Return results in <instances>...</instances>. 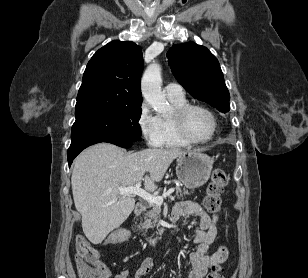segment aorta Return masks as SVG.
<instances>
[{"instance_id": "aorta-1", "label": "aorta", "mask_w": 308, "mask_h": 278, "mask_svg": "<svg viewBox=\"0 0 308 278\" xmlns=\"http://www.w3.org/2000/svg\"><path fill=\"white\" fill-rule=\"evenodd\" d=\"M161 85V67L157 63H152L142 77V95L157 113L165 114L170 109V105L161 91Z\"/></svg>"}]
</instances>
